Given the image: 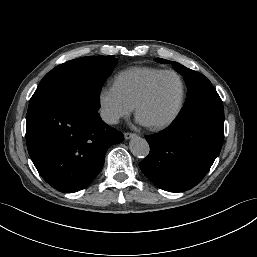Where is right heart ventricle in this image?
<instances>
[{
    "label": "right heart ventricle",
    "instance_id": "obj_1",
    "mask_svg": "<svg viewBox=\"0 0 257 257\" xmlns=\"http://www.w3.org/2000/svg\"><path fill=\"white\" fill-rule=\"evenodd\" d=\"M164 71L161 68L138 66L120 72L114 79V87L122 96L135 105L137 98L147 83L157 74Z\"/></svg>",
    "mask_w": 257,
    "mask_h": 257
}]
</instances>
